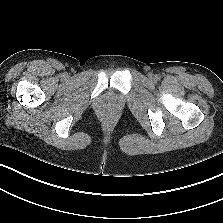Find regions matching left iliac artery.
Listing matches in <instances>:
<instances>
[{"label": "left iliac artery", "instance_id": "44dca946", "mask_svg": "<svg viewBox=\"0 0 223 223\" xmlns=\"http://www.w3.org/2000/svg\"><path fill=\"white\" fill-rule=\"evenodd\" d=\"M156 79H160V76L159 75H156Z\"/></svg>", "mask_w": 223, "mask_h": 223}]
</instances>
